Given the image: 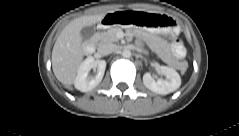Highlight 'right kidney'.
I'll return each instance as SVG.
<instances>
[{"instance_id": "right-kidney-1", "label": "right kidney", "mask_w": 239, "mask_h": 136, "mask_svg": "<svg viewBox=\"0 0 239 136\" xmlns=\"http://www.w3.org/2000/svg\"><path fill=\"white\" fill-rule=\"evenodd\" d=\"M91 69H97L95 76H89L88 73ZM106 69V62L104 60L96 61L93 57L89 56L79 66L75 78V88L81 92H88L94 89L101 82Z\"/></svg>"}]
</instances>
